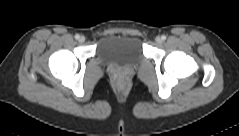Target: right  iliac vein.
Here are the masks:
<instances>
[{
    "mask_svg": "<svg viewBox=\"0 0 239 136\" xmlns=\"http://www.w3.org/2000/svg\"><path fill=\"white\" fill-rule=\"evenodd\" d=\"M79 42H80V43H84V42H85V37H84V36H81V37L79 38Z\"/></svg>",
    "mask_w": 239,
    "mask_h": 136,
    "instance_id": "obj_1",
    "label": "right iliac vein"
}]
</instances>
